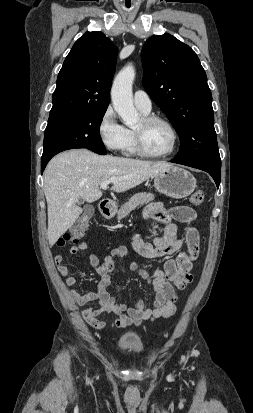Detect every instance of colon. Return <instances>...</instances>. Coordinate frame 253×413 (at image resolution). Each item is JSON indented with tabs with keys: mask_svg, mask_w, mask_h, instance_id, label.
Returning <instances> with one entry per match:
<instances>
[{
	"mask_svg": "<svg viewBox=\"0 0 253 413\" xmlns=\"http://www.w3.org/2000/svg\"><path fill=\"white\" fill-rule=\"evenodd\" d=\"M192 205L198 207L204 202V192L202 190L194 191L190 196ZM93 210L90 206H86L83 214L77 220L71 231L59 239L58 245L65 246L69 243H78L88 229Z\"/></svg>",
	"mask_w": 253,
	"mask_h": 413,
	"instance_id": "colon-1",
	"label": "colon"
}]
</instances>
